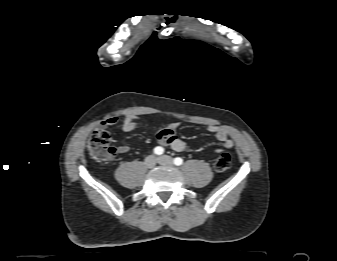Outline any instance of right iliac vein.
<instances>
[{
	"mask_svg": "<svg viewBox=\"0 0 337 261\" xmlns=\"http://www.w3.org/2000/svg\"><path fill=\"white\" fill-rule=\"evenodd\" d=\"M157 159L154 155H150L145 159V165L148 168H153L156 165Z\"/></svg>",
	"mask_w": 337,
	"mask_h": 261,
	"instance_id": "1",
	"label": "right iliac vein"
}]
</instances>
